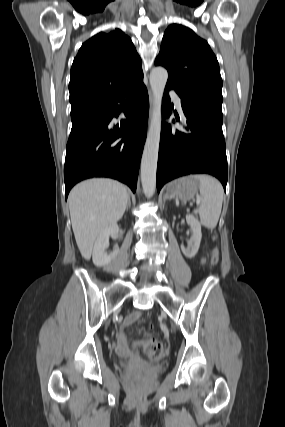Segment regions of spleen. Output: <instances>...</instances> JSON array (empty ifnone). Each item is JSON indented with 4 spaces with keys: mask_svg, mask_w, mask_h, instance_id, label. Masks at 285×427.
<instances>
[{
    "mask_svg": "<svg viewBox=\"0 0 285 427\" xmlns=\"http://www.w3.org/2000/svg\"><path fill=\"white\" fill-rule=\"evenodd\" d=\"M192 179L200 183L199 200V216L201 224L209 229H214L217 226L223 202V188L215 178L199 174L190 176Z\"/></svg>",
    "mask_w": 285,
    "mask_h": 427,
    "instance_id": "3e777b00",
    "label": "spleen"
}]
</instances>
